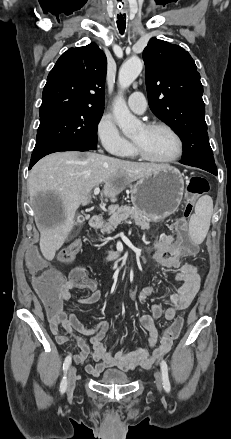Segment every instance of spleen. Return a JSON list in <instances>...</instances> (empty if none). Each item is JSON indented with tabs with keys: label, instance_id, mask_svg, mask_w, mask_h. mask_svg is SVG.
I'll return each mask as SVG.
<instances>
[{
	"label": "spleen",
	"instance_id": "spleen-1",
	"mask_svg": "<svg viewBox=\"0 0 231 439\" xmlns=\"http://www.w3.org/2000/svg\"><path fill=\"white\" fill-rule=\"evenodd\" d=\"M213 214V201L210 196H202L196 203L195 213L189 222V232L192 241L200 244L204 241L210 227Z\"/></svg>",
	"mask_w": 231,
	"mask_h": 439
}]
</instances>
